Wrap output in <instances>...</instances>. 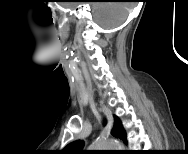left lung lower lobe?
<instances>
[{"label":"left lung lower lobe","instance_id":"0a47b994","mask_svg":"<svg viewBox=\"0 0 188 154\" xmlns=\"http://www.w3.org/2000/svg\"><path fill=\"white\" fill-rule=\"evenodd\" d=\"M123 141H124L125 143H127V140H126V135H125V137H124Z\"/></svg>","mask_w":188,"mask_h":154}]
</instances>
